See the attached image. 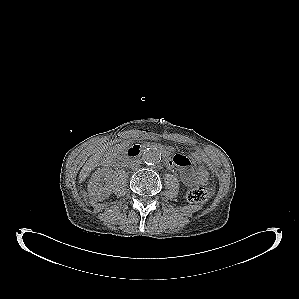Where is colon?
<instances>
[{
    "mask_svg": "<svg viewBox=\"0 0 299 299\" xmlns=\"http://www.w3.org/2000/svg\"><path fill=\"white\" fill-rule=\"evenodd\" d=\"M194 179L200 186L190 189L187 192V200L190 203L202 204L209 198V191L203 186L208 180L209 173L203 166H197L193 171Z\"/></svg>",
    "mask_w": 299,
    "mask_h": 299,
    "instance_id": "colon-1",
    "label": "colon"
}]
</instances>
